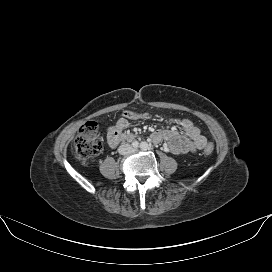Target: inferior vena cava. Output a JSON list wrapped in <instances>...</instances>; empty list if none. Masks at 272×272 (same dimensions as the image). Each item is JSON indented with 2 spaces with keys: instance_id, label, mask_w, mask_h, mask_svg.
Listing matches in <instances>:
<instances>
[{
  "instance_id": "1",
  "label": "inferior vena cava",
  "mask_w": 272,
  "mask_h": 272,
  "mask_svg": "<svg viewBox=\"0 0 272 272\" xmlns=\"http://www.w3.org/2000/svg\"><path fill=\"white\" fill-rule=\"evenodd\" d=\"M118 152L121 155H129L134 152V148L129 144H122L119 146Z\"/></svg>"
}]
</instances>
